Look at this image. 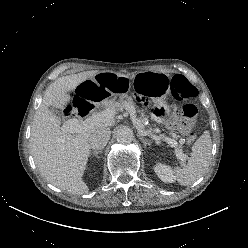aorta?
Listing matches in <instances>:
<instances>
[{"mask_svg": "<svg viewBox=\"0 0 248 248\" xmlns=\"http://www.w3.org/2000/svg\"><path fill=\"white\" fill-rule=\"evenodd\" d=\"M133 137H134L133 131L129 127L120 128L116 132V140L121 144L131 143Z\"/></svg>", "mask_w": 248, "mask_h": 248, "instance_id": "1", "label": "aorta"}]
</instances>
